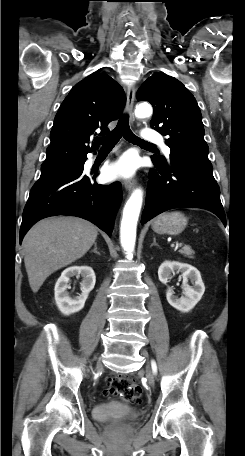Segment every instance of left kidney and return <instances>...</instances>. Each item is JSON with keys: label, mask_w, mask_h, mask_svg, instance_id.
I'll return each mask as SVG.
<instances>
[{"label": "left kidney", "mask_w": 245, "mask_h": 456, "mask_svg": "<svg viewBox=\"0 0 245 456\" xmlns=\"http://www.w3.org/2000/svg\"><path fill=\"white\" fill-rule=\"evenodd\" d=\"M175 271L182 273V288L184 290V296L178 298L174 295V291L172 289H168L166 292L167 301L175 309L181 312H189L195 307L204 294V283L200 272L195 267L186 263H179L175 261H165L160 265L158 269L159 280L162 283H166L168 279H170L171 274ZM188 280H191V282L194 283L193 287L188 285Z\"/></svg>", "instance_id": "1"}]
</instances>
